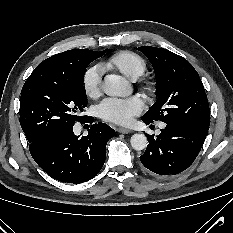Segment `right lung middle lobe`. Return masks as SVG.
<instances>
[{
    "instance_id": "right-lung-middle-lobe-1",
    "label": "right lung middle lobe",
    "mask_w": 233,
    "mask_h": 233,
    "mask_svg": "<svg viewBox=\"0 0 233 233\" xmlns=\"http://www.w3.org/2000/svg\"><path fill=\"white\" fill-rule=\"evenodd\" d=\"M104 53L73 54L67 68L60 71L34 69L20 98V124L29 143L84 120L85 116H80L87 106L84 73L88 64Z\"/></svg>"
}]
</instances>
